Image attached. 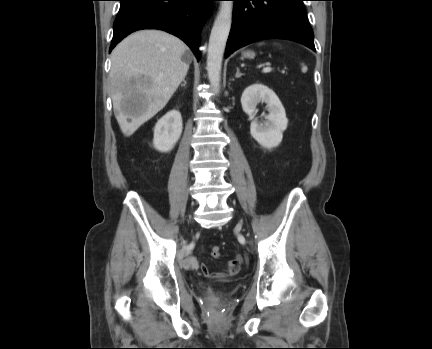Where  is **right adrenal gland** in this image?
Masks as SVG:
<instances>
[{
    "mask_svg": "<svg viewBox=\"0 0 432 349\" xmlns=\"http://www.w3.org/2000/svg\"><path fill=\"white\" fill-rule=\"evenodd\" d=\"M186 84H187V82H186V80L184 79V80H183V83L181 84V86H182V87H185Z\"/></svg>",
    "mask_w": 432,
    "mask_h": 349,
    "instance_id": "1",
    "label": "right adrenal gland"
}]
</instances>
